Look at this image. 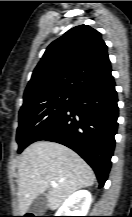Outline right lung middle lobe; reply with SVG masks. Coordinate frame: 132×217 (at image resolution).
I'll use <instances>...</instances> for the list:
<instances>
[{
    "mask_svg": "<svg viewBox=\"0 0 132 217\" xmlns=\"http://www.w3.org/2000/svg\"><path fill=\"white\" fill-rule=\"evenodd\" d=\"M76 94L57 92L24 98L19 111L18 153L38 140L74 101Z\"/></svg>",
    "mask_w": 132,
    "mask_h": 217,
    "instance_id": "right-lung-middle-lobe-1",
    "label": "right lung middle lobe"
}]
</instances>
